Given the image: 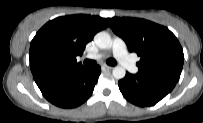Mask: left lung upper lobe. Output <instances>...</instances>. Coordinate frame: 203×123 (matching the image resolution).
<instances>
[{"mask_svg":"<svg viewBox=\"0 0 203 123\" xmlns=\"http://www.w3.org/2000/svg\"><path fill=\"white\" fill-rule=\"evenodd\" d=\"M113 32L127 44L129 51L141 57L138 73L159 76L177 82L184 54L175 35L166 27L139 18L107 19Z\"/></svg>","mask_w":203,"mask_h":123,"instance_id":"obj_1","label":"left lung upper lobe"}]
</instances>
